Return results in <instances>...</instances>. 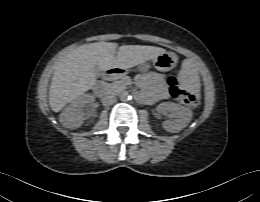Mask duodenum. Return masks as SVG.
<instances>
[{
  "label": "duodenum",
  "instance_id": "1",
  "mask_svg": "<svg viewBox=\"0 0 260 202\" xmlns=\"http://www.w3.org/2000/svg\"><path fill=\"white\" fill-rule=\"evenodd\" d=\"M123 73H124V71H123L122 69L117 68V67H111V68H109V69L105 72L104 81L113 80V79H115L116 77L121 76ZM96 88H97V90H100V89H101V86H100V85H97Z\"/></svg>",
  "mask_w": 260,
  "mask_h": 202
}]
</instances>
